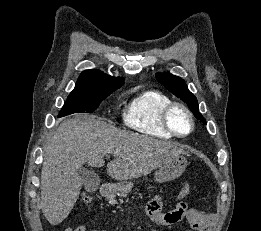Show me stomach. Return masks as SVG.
Masks as SVG:
<instances>
[{
  "instance_id": "obj_1",
  "label": "stomach",
  "mask_w": 261,
  "mask_h": 231,
  "mask_svg": "<svg viewBox=\"0 0 261 231\" xmlns=\"http://www.w3.org/2000/svg\"><path fill=\"white\" fill-rule=\"evenodd\" d=\"M187 158L184 155H179L172 158L169 162L163 165L154 175L155 182H167L174 180L182 175L187 167ZM132 187V184H119L117 185V191L121 192L125 187Z\"/></svg>"
}]
</instances>
